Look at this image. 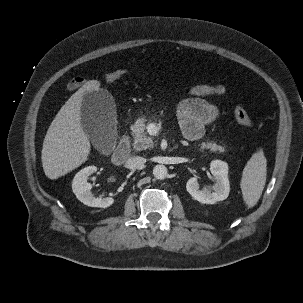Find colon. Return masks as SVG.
I'll list each match as a JSON object with an SVG mask.
<instances>
[{"label":"colon","instance_id":"1","mask_svg":"<svg viewBox=\"0 0 303 303\" xmlns=\"http://www.w3.org/2000/svg\"><path fill=\"white\" fill-rule=\"evenodd\" d=\"M126 73L125 69H118L105 75L107 83H114L119 80ZM232 113L236 121L243 127L251 129L254 127V122L248 113L239 105H235Z\"/></svg>","mask_w":303,"mask_h":303}]
</instances>
